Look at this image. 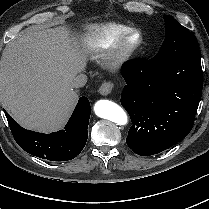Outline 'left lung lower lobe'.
Returning a JSON list of instances; mask_svg holds the SVG:
<instances>
[{"label": "left lung lower lobe", "instance_id": "1", "mask_svg": "<svg viewBox=\"0 0 209 209\" xmlns=\"http://www.w3.org/2000/svg\"><path fill=\"white\" fill-rule=\"evenodd\" d=\"M122 76L120 102L133 123L126 142L136 154L160 153L189 134L203 88L199 50L169 61H130Z\"/></svg>", "mask_w": 209, "mask_h": 209}]
</instances>
